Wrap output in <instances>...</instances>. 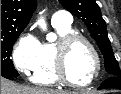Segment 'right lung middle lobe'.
Instances as JSON below:
<instances>
[{
	"mask_svg": "<svg viewBox=\"0 0 121 94\" xmlns=\"http://www.w3.org/2000/svg\"><path fill=\"white\" fill-rule=\"evenodd\" d=\"M23 30L1 33V76L17 77L19 74L15 70L10 59L13 45Z\"/></svg>",
	"mask_w": 121,
	"mask_h": 94,
	"instance_id": "obj_1",
	"label": "right lung middle lobe"
}]
</instances>
